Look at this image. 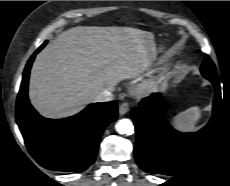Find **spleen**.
<instances>
[{"label": "spleen", "instance_id": "3e777b00", "mask_svg": "<svg viewBox=\"0 0 230 186\" xmlns=\"http://www.w3.org/2000/svg\"><path fill=\"white\" fill-rule=\"evenodd\" d=\"M201 112L199 107H191L173 118L174 126L179 130H192L195 123L200 119Z\"/></svg>", "mask_w": 230, "mask_h": 186}]
</instances>
